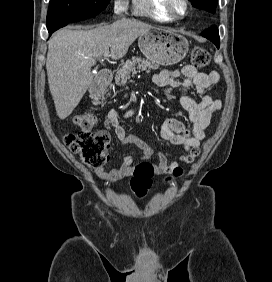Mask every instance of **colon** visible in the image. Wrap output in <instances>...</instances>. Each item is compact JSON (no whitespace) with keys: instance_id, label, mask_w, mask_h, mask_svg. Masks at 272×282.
<instances>
[{"instance_id":"5ec220e1","label":"colon","mask_w":272,"mask_h":282,"mask_svg":"<svg viewBox=\"0 0 272 282\" xmlns=\"http://www.w3.org/2000/svg\"><path fill=\"white\" fill-rule=\"evenodd\" d=\"M193 66L205 67L209 64L208 52L199 46H194L191 51ZM75 125L80 130L75 133L66 134L64 143L68 149L79 156L84 164L93 169H105L109 162L110 135L107 131L93 132L92 129L98 123V115L92 107H85L73 117ZM151 166L148 163L139 164L130 180V185L137 196L146 194L149 187L148 177ZM182 174L181 168L173 170L174 176Z\"/></svg>"}]
</instances>
